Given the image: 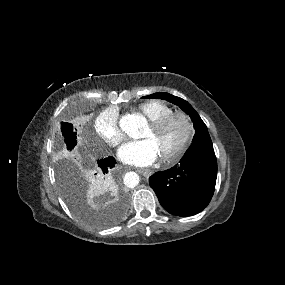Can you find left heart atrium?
Here are the masks:
<instances>
[{
    "label": "left heart atrium",
    "mask_w": 285,
    "mask_h": 285,
    "mask_svg": "<svg viewBox=\"0 0 285 285\" xmlns=\"http://www.w3.org/2000/svg\"><path fill=\"white\" fill-rule=\"evenodd\" d=\"M118 156L126 164L148 166L160 157V152L154 140L146 138L124 144L119 149Z\"/></svg>",
    "instance_id": "1"
}]
</instances>
